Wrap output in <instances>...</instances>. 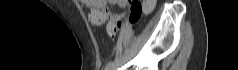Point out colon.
Returning <instances> with one entry per match:
<instances>
[{
	"label": "colon",
	"instance_id": "5ec220e1",
	"mask_svg": "<svg viewBox=\"0 0 238 70\" xmlns=\"http://www.w3.org/2000/svg\"><path fill=\"white\" fill-rule=\"evenodd\" d=\"M155 6V0H146L143 3L140 1L134 0L131 1L130 6V17L129 20L131 23H136L143 12H150ZM119 28V19H108L107 24V34L109 37L113 38Z\"/></svg>",
	"mask_w": 238,
	"mask_h": 70
}]
</instances>
